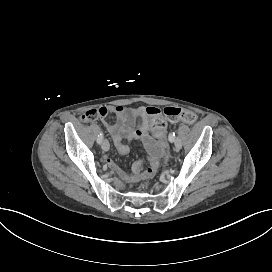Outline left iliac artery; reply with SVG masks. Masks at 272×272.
Returning a JSON list of instances; mask_svg holds the SVG:
<instances>
[{"label": "left iliac artery", "mask_w": 272, "mask_h": 272, "mask_svg": "<svg viewBox=\"0 0 272 272\" xmlns=\"http://www.w3.org/2000/svg\"><path fill=\"white\" fill-rule=\"evenodd\" d=\"M168 139L170 142H174L175 141V133L174 132H171L168 136Z\"/></svg>", "instance_id": "1"}]
</instances>
